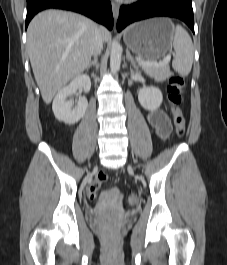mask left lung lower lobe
<instances>
[{
	"label": "left lung lower lobe",
	"instance_id": "1",
	"mask_svg": "<svg viewBox=\"0 0 227 265\" xmlns=\"http://www.w3.org/2000/svg\"><path fill=\"white\" fill-rule=\"evenodd\" d=\"M156 16L175 17L184 21L194 32V17L191 0H140L120 8L117 30L128 24Z\"/></svg>",
	"mask_w": 227,
	"mask_h": 265
}]
</instances>
